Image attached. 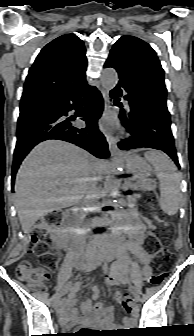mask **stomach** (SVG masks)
<instances>
[{
    "mask_svg": "<svg viewBox=\"0 0 194 336\" xmlns=\"http://www.w3.org/2000/svg\"><path fill=\"white\" fill-rule=\"evenodd\" d=\"M127 169L138 178H147L151 173V167L146 160L141 158L134 152H130L125 156Z\"/></svg>",
    "mask_w": 194,
    "mask_h": 336,
    "instance_id": "0dacf381",
    "label": "stomach"
}]
</instances>
